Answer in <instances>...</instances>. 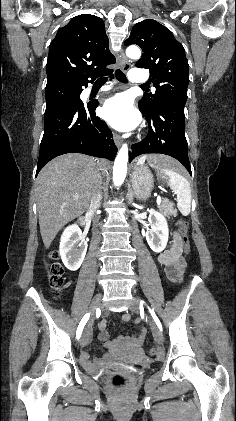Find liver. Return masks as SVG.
Segmentation results:
<instances>
[{
  "instance_id": "liver-1",
  "label": "liver",
  "mask_w": 236,
  "mask_h": 421,
  "mask_svg": "<svg viewBox=\"0 0 236 421\" xmlns=\"http://www.w3.org/2000/svg\"><path fill=\"white\" fill-rule=\"evenodd\" d=\"M152 164L175 162L164 154H145ZM96 168L105 174L110 168L109 160L68 152L50 160L36 178L37 211L40 233L45 249H49L60 229L77 219L88 208L95 188ZM73 194H78L74 200Z\"/></svg>"
}]
</instances>
